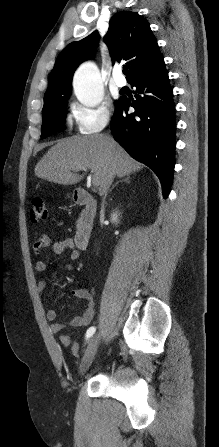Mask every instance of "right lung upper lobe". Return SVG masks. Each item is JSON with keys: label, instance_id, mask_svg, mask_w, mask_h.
<instances>
[{"label": "right lung upper lobe", "instance_id": "cb5924a9", "mask_svg": "<svg viewBox=\"0 0 219 447\" xmlns=\"http://www.w3.org/2000/svg\"><path fill=\"white\" fill-rule=\"evenodd\" d=\"M98 38V32L94 31L89 36L68 44L60 52L48 79L44 100L71 94L74 71L93 55ZM104 41L110 51L113 64L122 61L129 67L126 77L129 83L163 60L148 21L136 12L116 13L110 20Z\"/></svg>", "mask_w": 219, "mask_h": 447}]
</instances>
